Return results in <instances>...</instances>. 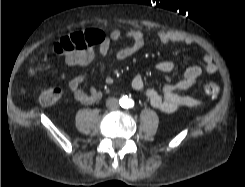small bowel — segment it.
<instances>
[{
  "label": "small bowel",
  "mask_w": 245,
  "mask_h": 187,
  "mask_svg": "<svg viewBox=\"0 0 245 187\" xmlns=\"http://www.w3.org/2000/svg\"><path fill=\"white\" fill-rule=\"evenodd\" d=\"M155 37L163 45L180 43L186 46H192L194 43L190 36L169 30H157ZM86 38L91 45L98 44L97 54L100 57L109 55L113 41L121 39L130 40V45L116 52V58L118 60H125L138 52L144 46L146 40L145 34L137 29L127 31L113 29L108 34H105L98 28H90L86 31ZM95 56L96 53L92 49L87 48L85 50L65 54L64 62L70 66H86L93 61ZM203 64L204 69L199 66H192L186 69L176 84L164 86L161 93L153 88L146 87L145 81L141 75H135L133 77L131 86L136 91L144 92L150 104L164 113H173L182 107H196L201 104L198 99L182 95L180 92L195 85L203 72L208 75L216 73L217 66L210 55L203 56ZM174 68V63L171 61H162L155 66V69L160 73H170ZM85 79V74L75 76L69 81L68 89L77 102L81 104H91L98 101L102 93L96 87H92L87 91L82 90L80 87ZM107 83H111L110 78L107 79Z\"/></svg>",
  "instance_id": "1"
}]
</instances>
